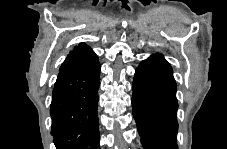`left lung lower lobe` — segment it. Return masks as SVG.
I'll use <instances>...</instances> for the list:
<instances>
[{
	"instance_id": "obj_1",
	"label": "left lung lower lobe",
	"mask_w": 227,
	"mask_h": 149,
	"mask_svg": "<svg viewBox=\"0 0 227 149\" xmlns=\"http://www.w3.org/2000/svg\"><path fill=\"white\" fill-rule=\"evenodd\" d=\"M176 89L172 67L161 54L137 67L132 111L144 149H178Z\"/></svg>"
}]
</instances>
